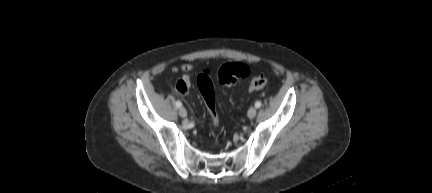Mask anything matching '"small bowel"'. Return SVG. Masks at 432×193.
<instances>
[{
  "mask_svg": "<svg viewBox=\"0 0 432 193\" xmlns=\"http://www.w3.org/2000/svg\"><path fill=\"white\" fill-rule=\"evenodd\" d=\"M182 70L184 71V75L177 82V90L179 93L185 94L191 84V71L193 70V66L190 64H185L182 66Z\"/></svg>",
  "mask_w": 432,
  "mask_h": 193,
  "instance_id": "small-bowel-1",
  "label": "small bowel"
}]
</instances>
